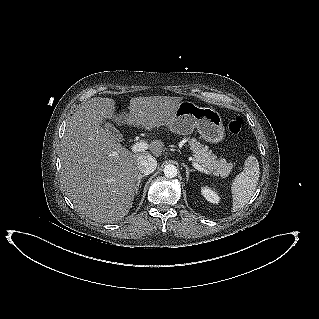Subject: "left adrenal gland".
Masks as SVG:
<instances>
[{"label":"left adrenal gland","instance_id":"1","mask_svg":"<svg viewBox=\"0 0 319 319\" xmlns=\"http://www.w3.org/2000/svg\"><path fill=\"white\" fill-rule=\"evenodd\" d=\"M183 167L186 169V180L188 181L189 180V173L194 172L195 170L189 169V167L187 165H185L184 163H183Z\"/></svg>","mask_w":319,"mask_h":319}]
</instances>
